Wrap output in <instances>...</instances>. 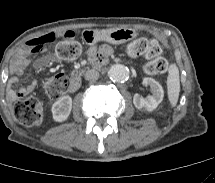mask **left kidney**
Listing matches in <instances>:
<instances>
[{"label":"left kidney","instance_id":"1","mask_svg":"<svg viewBox=\"0 0 215 183\" xmlns=\"http://www.w3.org/2000/svg\"><path fill=\"white\" fill-rule=\"evenodd\" d=\"M142 83L150 86L152 95L143 98L139 94H135L133 97V104L137 109L153 111L163 100V88L155 79L149 77L143 78Z\"/></svg>","mask_w":215,"mask_h":183}]
</instances>
